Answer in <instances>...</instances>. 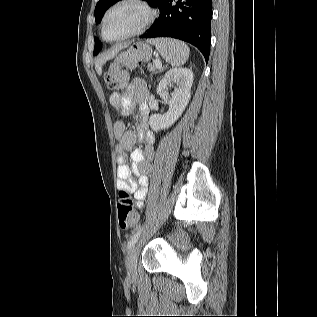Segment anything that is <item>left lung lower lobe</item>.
I'll return each mask as SVG.
<instances>
[{
  "mask_svg": "<svg viewBox=\"0 0 317 317\" xmlns=\"http://www.w3.org/2000/svg\"><path fill=\"white\" fill-rule=\"evenodd\" d=\"M159 18L140 38L172 37L196 46L208 62L212 0H163Z\"/></svg>",
  "mask_w": 317,
  "mask_h": 317,
  "instance_id": "left-lung-lower-lobe-1",
  "label": "left lung lower lobe"
}]
</instances>
